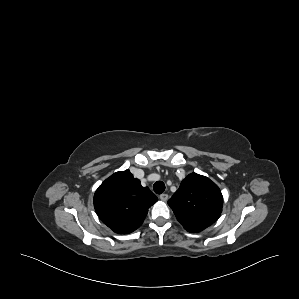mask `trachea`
I'll use <instances>...</instances> for the list:
<instances>
[{
  "label": "trachea",
  "instance_id": "obj_1",
  "mask_svg": "<svg viewBox=\"0 0 299 299\" xmlns=\"http://www.w3.org/2000/svg\"><path fill=\"white\" fill-rule=\"evenodd\" d=\"M153 189L156 194H162L165 190V184L162 181H157L154 183Z\"/></svg>",
  "mask_w": 299,
  "mask_h": 299
}]
</instances>
